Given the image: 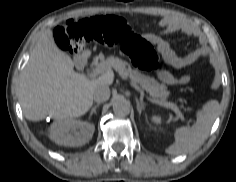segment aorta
I'll return each mask as SVG.
<instances>
[{
	"instance_id": "762f6f07",
	"label": "aorta",
	"mask_w": 236,
	"mask_h": 182,
	"mask_svg": "<svg viewBox=\"0 0 236 182\" xmlns=\"http://www.w3.org/2000/svg\"><path fill=\"white\" fill-rule=\"evenodd\" d=\"M130 109V103L123 98H118L113 102V111L118 116H127Z\"/></svg>"
}]
</instances>
